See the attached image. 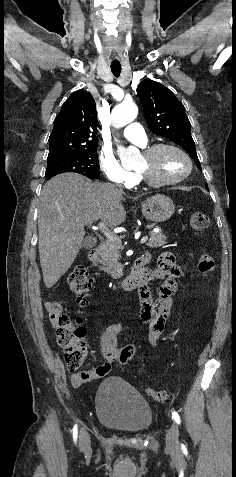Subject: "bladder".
I'll return each instance as SVG.
<instances>
[{
    "label": "bladder",
    "mask_w": 236,
    "mask_h": 477,
    "mask_svg": "<svg viewBox=\"0 0 236 477\" xmlns=\"http://www.w3.org/2000/svg\"><path fill=\"white\" fill-rule=\"evenodd\" d=\"M95 407L97 420L120 432L141 433L153 423V411L148 402L120 377H108L99 384Z\"/></svg>",
    "instance_id": "31cf9c89"
}]
</instances>
